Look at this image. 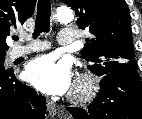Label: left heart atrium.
Returning a JSON list of instances; mask_svg holds the SVG:
<instances>
[{"instance_id":"obj_1","label":"left heart atrium","mask_w":142,"mask_h":119,"mask_svg":"<svg viewBox=\"0 0 142 119\" xmlns=\"http://www.w3.org/2000/svg\"><path fill=\"white\" fill-rule=\"evenodd\" d=\"M25 77L35 88L52 95L63 94L71 86L70 67L50 56L32 60L25 69Z\"/></svg>"}]
</instances>
